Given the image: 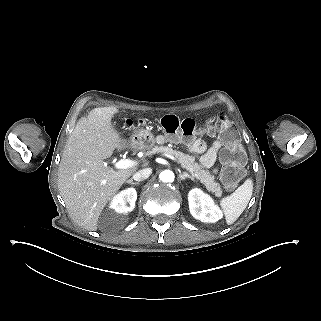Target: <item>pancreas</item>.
I'll return each instance as SVG.
<instances>
[{
  "label": "pancreas",
  "mask_w": 321,
  "mask_h": 321,
  "mask_svg": "<svg viewBox=\"0 0 321 321\" xmlns=\"http://www.w3.org/2000/svg\"><path fill=\"white\" fill-rule=\"evenodd\" d=\"M137 149H134L136 151ZM156 153L168 154L174 156L182 168H185L189 172L193 173L202 184L205 185L209 192H213L216 197H221L222 189L219 183L215 182V176L212 175L209 170H204L203 166L195 162L193 156L184 154L183 152L173 150L167 146H154L150 150L144 151L145 156H151Z\"/></svg>",
  "instance_id": "1"
}]
</instances>
